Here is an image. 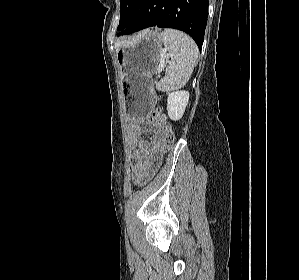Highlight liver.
Listing matches in <instances>:
<instances>
[{"label":"liver","instance_id":"1","mask_svg":"<svg viewBox=\"0 0 299 280\" xmlns=\"http://www.w3.org/2000/svg\"><path fill=\"white\" fill-rule=\"evenodd\" d=\"M125 44H127V42H125V41H117V42L115 43V49H116V51L118 52L119 49H120L122 46H124Z\"/></svg>","mask_w":299,"mask_h":280}]
</instances>
